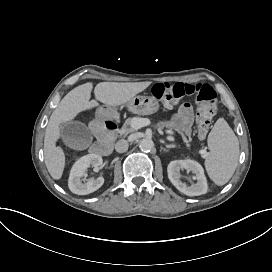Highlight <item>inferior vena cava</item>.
Masks as SVG:
<instances>
[{
  "label": "inferior vena cava",
  "instance_id": "inferior-vena-cava-1",
  "mask_svg": "<svg viewBox=\"0 0 272 272\" xmlns=\"http://www.w3.org/2000/svg\"><path fill=\"white\" fill-rule=\"evenodd\" d=\"M128 149V142L126 140H119L115 145V150L118 153H124Z\"/></svg>",
  "mask_w": 272,
  "mask_h": 272
}]
</instances>
